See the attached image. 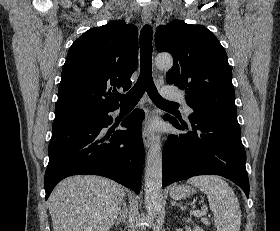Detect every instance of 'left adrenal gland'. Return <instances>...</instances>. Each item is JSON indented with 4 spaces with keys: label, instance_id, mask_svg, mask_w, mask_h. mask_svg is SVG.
I'll use <instances>...</instances> for the list:
<instances>
[{
    "label": "left adrenal gland",
    "instance_id": "left-adrenal-gland-1",
    "mask_svg": "<svg viewBox=\"0 0 280 231\" xmlns=\"http://www.w3.org/2000/svg\"><path fill=\"white\" fill-rule=\"evenodd\" d=\"M171 205H178V207H180V209H184L183 205H181V203H176V201H170Z\"/></svg>",
    "mask_w": 280,
    "mask_h": 231
}]
</instances>
